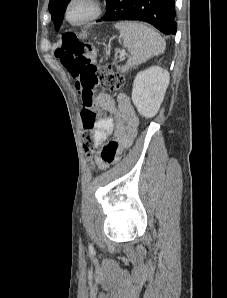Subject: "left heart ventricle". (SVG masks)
<instances>
[{"label": "left heart ventricle", "mask_w": 227, "mask_h": 298, "mask_svg": "<svg viewBox=\"0 0 227 298\" xmlns=\"http://www.w3.org/2000/svg\"><path fill=\"white\" fill-rule=\"evenodd\" d=\"M93 11L90 0H76L70 8V17L73 21H80L88 17Z\"/></svg>", "instance_id": "obj_1"}]
</instances>
